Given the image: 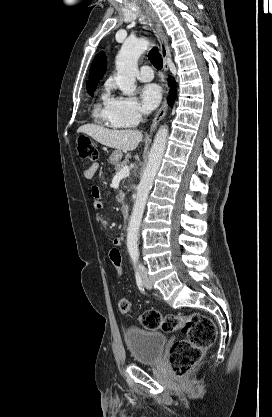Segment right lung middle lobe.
Returning <instances> with one entry per match:
<instances>
[{
    "label": "right lung middle lobe",
    "mask_w": 272,
    "mask_h": 417,
    "mask_svg": "<svg viewBox=\"0 0 272 417\" xmlns=\"http://www.w3.org/2000/svg\"><path fill=\"white\" fill-rule=\"evenodd\" d=\"M94 90H95V89H91V90H88V89H87V92H88V94H89V95H91V96H92V95H93Z\"/></svg>",
    "instance_id": "dd1d6c3e"
}]
</instances>
